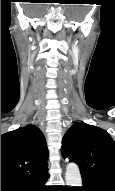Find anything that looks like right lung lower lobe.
Listing matches in <instances>:
<instances>
[{
    "label": "right lung lower lobe",
    "mask_w": 115,
    "mask_h": 191,
    "mask_svg": "<svg viewBox=\"0 0 115 191\" xmlns=\"http://www.w3.org/2000/svg\"><path fill=\"white\" fill-rule=\"evenodd\" d=\"M49 174L21 182H1V191H48L45 183Z\"/></svg>",
    "instance_id": "right-lung-lower-lobe-1"
}]
</instances>
